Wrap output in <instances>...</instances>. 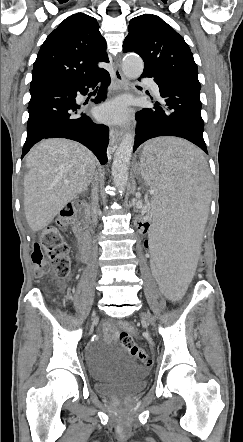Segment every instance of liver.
Segmentation results:
<instances>
[{
    "label": "liver",
    "instance_id": "1",
    "mask_svg": "<svg viewBox=\"0 0 243 442\" xmlns=\"http://www.w3.org/2000/svg\"><path fill=\"white\" fill-rule=\"evenodd\" d=\"M26 167L24 211L29 227L37 232L87 189L96 157L80 143L53 138L42 140L29 152Z\"/></svg>",
    "mask_w": 243,
    "mask_h": 442
}]
</instances>
